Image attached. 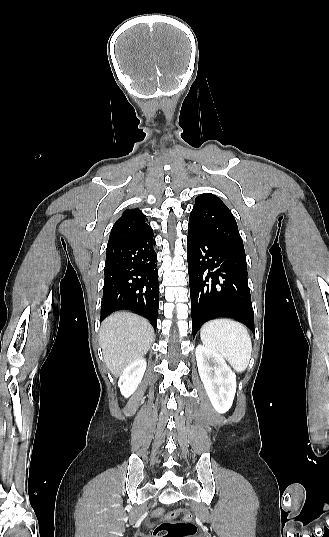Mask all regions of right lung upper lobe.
<instances>
[{
    "instance_id": "1",
    "label": "right lung upper lobe",
    "mask_w": 329,
    "mask_h": 537,
    "mask_svg": "<svg viewBox=\"0 0 329 537\" xmlns=\"http://www.w3.org/2000/svg\"><path fill=\"white\" fill-rule=\"evenodd\" d=\"M145 220L146 216L138 208L125 210L111 230L108 245L131 240L151 230Z\"/></svg>"
}]
</instances>
